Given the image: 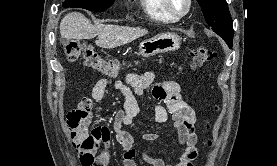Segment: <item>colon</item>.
Listing matches in <instances>:
<instances>
[{
    "instance_id": "5ec220e1",
    "label": "colon",
    "mask_w": 277,
    "mask_h": 166,
    "mask_svg": "<svg viewBox=\"0 0 277 166\" xmlns=\"http://www.w3.org/2000/svg\"><path fill=\"white\" fill-rule=\"evenodd\" d=\"M64 51L67 59L71 62L78 60L81 56L85 65L105 75L115 76L119 73L121 63L117 59H105L101 57L92 46L75 40L65 43ZM216 58V52L207 47H198L190 53V68H199ZM72 139L80 144L88 135V126L85 122V113L76 111L69 125ZM211 144V142H209Z\"/></svg>"
}]
</instances>
